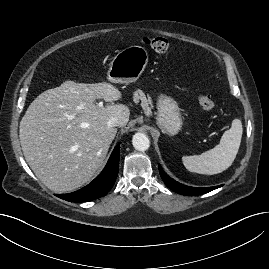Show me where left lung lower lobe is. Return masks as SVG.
Masks as SVG:
<instances>
[{
	"label": "left lung lower lobe",
	"mask_w": 269,
	"mask_h": 269,
	"mask_svg": "<svg viewBox=\"0 0 269 269\" xmlns=\"http://www.w3.org/2000/svg\"><path fill=\"white\" fill-rule=\"evenodd\" d=\"M159 173L167 187H169L171 190L175 191L176 193L182 194V195H189V196L202 195L222 186V185H219V186L206 187V188H196V187L183 185L173 180L172 178H170L163 171L161 165H159Z\"/></svg>",
	"instance_id": "1"
}]
</instances>
